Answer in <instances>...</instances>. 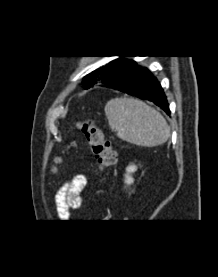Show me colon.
<instances>
[{
	"instance_id": "1",
	"label": "colon",
	"mask_w": 218,
	"mask_h": 277,
	"mask_svg": "<svg viewBox=\"0 0 218 277\" xmlns=\"http://www.w3.org/2000/svg\"><path fill=\"white\" fill-rule=\"evenodd\" d=\"M77 128L84 135L100 171L115 164L117 153L113 149L111 142L104 137L102 130L94 121L90 119L81 120L77 123Z\"/></svg>"
}]
</instances>
